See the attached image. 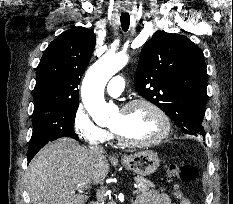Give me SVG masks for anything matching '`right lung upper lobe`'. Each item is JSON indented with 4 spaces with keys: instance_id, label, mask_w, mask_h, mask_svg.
<instances>
[{
    "instance_id": "1",
    "label": "right lung upper lobe",
    "mask_w": 233,
    "mask_h": 204,
    "mask_svg": "<svg viewBox=\"0 0 233 204\" xmlns=\"http://www.w3.org/2000/svg\"><path fill=\"white\" fill-rule=\"evenodd\" d=\"M92 30L77 27L63 32L45 50L37 67L34 110L78 104V85L95 47Z\"/></svg>"
}]
</instances>
